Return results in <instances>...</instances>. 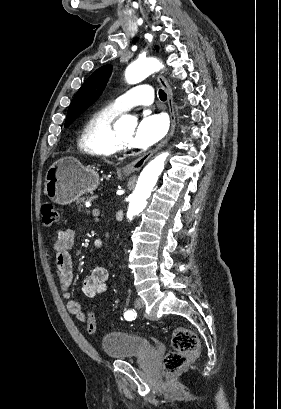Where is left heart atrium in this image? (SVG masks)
Masks as SVG:
<instances>
[{"label": "left heart atrium", "instance_id": "obj_1", "mask_svg": "<svg viewBox=\"0 0 281 409\" xmlns=\"http://www.w3.org/2000/svg\"><path fill=\"white\" fill-rule=\"evenodd\" d=\"M168 128L167 121L162 114L145 116L135 129L132 145L137 148H148L165 135Z\"/></svg>", "mask_w": 281, "mask_h": 409}]
</instances>
